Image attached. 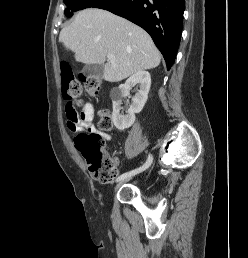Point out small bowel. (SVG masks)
I'll return each instance as SVG.
<instances>
[{
  "label": "small bowel",
  "instance_id": "1",
  "mask_svg": "<svg viewBox=\"0 0 248 258\" xmlns=\"http://www.w3.org/2000/svg\"><path fill=\"white\" fill-rule=\"evenodd\" d=\"M68 127L71 130L85 129L86 131L98 132L107 140H110V135L99 132L94 123V108L90 102H85L82 105L80 114H76L74 110L67 109Z\"/></svg>",
  "mask_w": 248,
  "mask_h": 258
}]
</instances>
